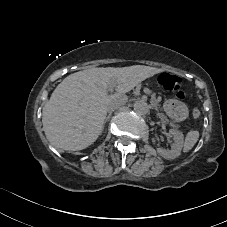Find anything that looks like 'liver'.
I'll use <instances>...</instances> for the list:
<instances>
[{"label": "liver", "mask_w": 227, "mask_h": 227, "mask_svg": "<svg viewBox=\"0 0 227 227\" xmlns=\"http://www.w3.org/2000/svg\"><path fill=\"white\" fill-rule=\"evenodd\" d=\"M159 72L161 69L134 65L92 68L67 76L43 107L42 124L47 140L63 150L87 148L103 129L109 103L107 86L118 84V91L127 92ZM123 85L128 88L121 90Z\"/></svg>", "instance_id": "obj_1"}]
</instances>
